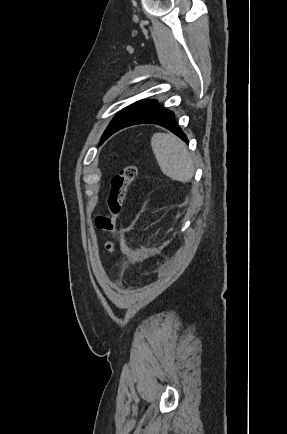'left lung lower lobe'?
<instances>
[{"label": "left lung lower lobe", "mask_w": 287, "mask_h": 434, "mask_svg": "<svg viewBox=\"0 0 287 434\" xmlns=\"http://www.w3.org/2000/svg\"><path fill=\"white\" fill-rule=\"evenodd\" d=\"M142 123H150L163 126L172 131L177 136H179L183 141L188 143L186 135L183 133L181 128L176 124L174 120V113L172 111L160 108L156 102L128 118L116 131L127 126Z\"/></svg>", "instance_id": "left-lung-lower-lobe-1"}]
</instances>
